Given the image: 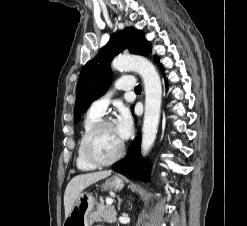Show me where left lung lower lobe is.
Returning a JSON list of instances; mask_svg holds the SVG:
<instances>
[{
    "label": "left lung lower lobe",
    "mask_w": 247,
    "mask_h": 226,
    "mask_svg": "<svg viewBox=\"0 0 247 226\" xmlns=\"http://www.w3.org/2000/svg\"><path fill=\"white\" fill-rule=\"evenodd\" d=\"M154 61L161 67L156 55ZM140 135L138 133L127 155L113 166V170L133 180L148 181V166L140 156Z\"/></svg>",
    "instance_id": "left-lung-lower-lobe-1"
}]
</instances>
